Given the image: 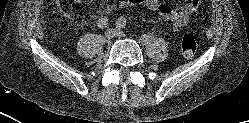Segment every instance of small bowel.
Instances as JSON below:
<instances>
[{"instance_id": "1", "label": "small bowel", "mask_w": 249, "mask_h": 123, "mask_svg": "<svg viewBox=\"0 0 249 123\" xmlns=\"http://www.w3.org/2000/svg\"><path fill=\"white\" fill-rule=\"evenodd\" d=\"M201 4L202 0H189L185 5L172 7L161 0H117L112 3L111 9L144 5L149 10L158 12L163 19L169 21L174 31H179L188 23L190 16L199 11Z\"/></svg>"}]
</instances>
